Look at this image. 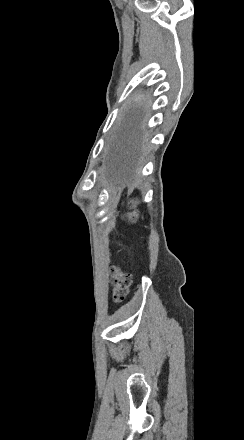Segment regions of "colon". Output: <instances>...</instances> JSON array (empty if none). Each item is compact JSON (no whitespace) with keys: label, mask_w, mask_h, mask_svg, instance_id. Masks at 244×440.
<instances>
[{"label":"colon","mask_w":244,"mask_h":440,"mask_svg":"<svg viewBox=\"0 0 244 440\" xmlns=\"http://www.w3.org/2000/svg\"><path fill=\"white\" fill-rule=\"evenodd\" d=\"M125 218L128 220H134L136 218V215L135 213H129L125 215ZM111 281L113 300L117 303H120L126 298L128 294V288L132 282V278L120 267L115 266L112 269Z\"/></svg>","instance_id":"5ec220e1"}]
</instances>
